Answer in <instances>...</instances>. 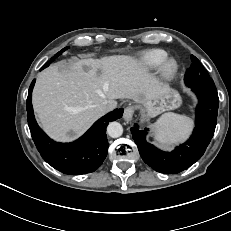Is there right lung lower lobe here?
<instances>
[{"mask_svg":"<svg viewBox=\"0 0 231 231\" xmlns=\"http://www.w3.org/2000/svg\"><path fill=\"white\" fill-rule=\"evenodd\" d=\"M32 81L27 98V120L33 141L42 156L53 168L68 175L94 172L101 166L108 153L106 127L109 122L122 117L123 109H116L100 118L78 140L72 143H57L38 126L32 107Z\"/></svg>","mask_w":231,"mask_h":231,"instance_id":"right-lung-lower-lobe-1","label":"right lung lower lobe"}]
</instances>
